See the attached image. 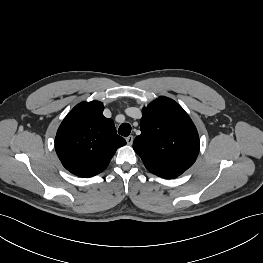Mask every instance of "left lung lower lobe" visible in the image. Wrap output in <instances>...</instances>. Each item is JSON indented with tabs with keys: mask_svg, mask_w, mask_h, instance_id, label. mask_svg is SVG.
Masks as SVG:
<instances>
[{
	"mask_svg": "<svg viewBox=\"0 0 263 263\" xmlns=\"http://www.w3.org/2000/svg\"><path fill=\"white\" fill-rule=\"evenodd\" d=\"M175 177H177V176H175V175H169V178L168 179H171V178H175Z\"/></svg>",
	"mask_w": 263,
	"mask_h": 263,
	"instance_id": "obj_1",
	"label": "left lung lower lobe"
}]
</instances>
